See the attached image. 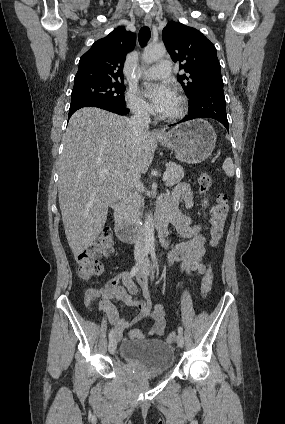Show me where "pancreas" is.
Instances as JSON below:
<instances>
[{"label":"pancreas","instance_id":"cf45deb5","mask_svg":"<svg viewBox=\"0 0 285 424\" xmlns=\"http://www.w3.org/2000/svg\"><path fill=\"white\" fill-rule=\"evenodd\" d=\"M168 178L165 182L166 186H173L179 183L184 177L183 168L175 163H168ZM144 203V199L137 193H130L123 201V209L127 218L138 219L141 215L140 209Z\"/></svg>","mask_w":285,"mask_h":424}]
</instances>
